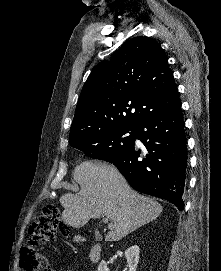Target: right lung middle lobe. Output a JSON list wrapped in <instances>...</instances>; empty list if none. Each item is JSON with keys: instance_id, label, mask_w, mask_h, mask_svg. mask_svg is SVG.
Segmentation results:
<instances>
[{"instance_id": "right-lung-middle-lobe-1", "label": "right lung middle lobe", "mask_w": 221, "mask_h": 271, "mask_svg": "<svg viewBox=\"0 0 221 271\" xmlns=\"http://www.w3.org/2000/svg\"><path fill=\"white\" fill-rule=\"evenodd\" d=\"M136 129L132 126H114L69 143L93 159L113 163L134 145ZM127 133L130 135L124 136Z\"/></svg>"}]
</instances>
